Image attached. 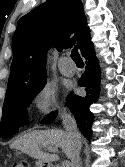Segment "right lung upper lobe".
Listing matches in <instances>:
<instances>
[{"instance_id":"right-lung-upper-lobe-1","label":"right lung upper lobe","mask_w":125,"mask_h":167,"mask_svg":"<svg viewBox=\"0 0 125 167\" xmlns=\"http://www.w3.org/2000/svg\"><path fill=\"white\" fill-rule=\"evenodd\" d=\"M75 32V37L69 39ZM81 0H47L18 21L12 38L13 61L6 98L16 97L46 83V51H59L77 42L82 50L89 40Z\"/></svg>"}]
</instances>
